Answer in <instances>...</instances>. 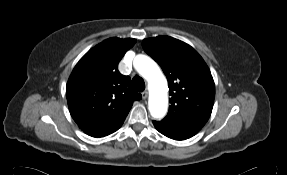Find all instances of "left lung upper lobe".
<instances>
[{
  "instance_id": "left-lung-upper-lobe-1",
  "label": "left lung upper lobe",
  "mask_w": 287,
  "mask_h": 175,
  "mask_svg": "<svg viewBox=\"0 0 287 175\" xmlns=\"http://www.w3.org/2000/svg\"><path fill=\"white\" fill-rule=\"evenodd\" d=\"M142 46L168 79L171 105L158 123L186 139L194 136L213 108L215 85L208 66L190 45L169 36L144 39Z\"/></svg>"
}]
</instances>
